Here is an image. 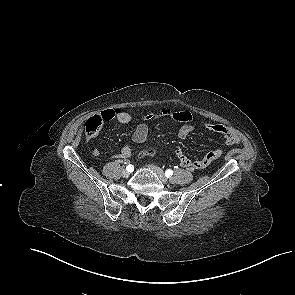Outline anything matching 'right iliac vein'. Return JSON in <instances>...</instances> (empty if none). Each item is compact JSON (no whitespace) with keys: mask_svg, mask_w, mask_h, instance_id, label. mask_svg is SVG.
I'll return each instance as SVG.
<instances>
[{"mask_svg":"<svg viewBox=\"0 0 295 295\" xmlns=\"http://www.w3.org/2000/svg\"><path fill=\"white\" fill-rule=\"evenodd\" d=\"M129 175H130V173H129L127 170H123V171H122V176H123L124 178L129 177Z\"/></svg>","mask_w":295,"mask_h":295,"instance_id":"1","label":"right iliac vein"}]
</instances>
